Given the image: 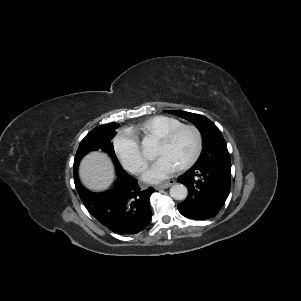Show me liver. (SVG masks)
I'll return each instance as SVG.
<instances>
[{
    "mask_svg": "<svg viewBox=\"0 0 301 301\" xmlns=\"http://www.w3.org/2000/svg\"><path fill=\"white\" fill-rule=\"evenodd\" d=\"M82 183L93 191L106 190L114 180V167L110 158L102 152H91L80 163Z\"/></svg>",
    "mask_w": 301,
    "mask_h": 301,
    "instance_id": "liver-1",
    "label": "liver"
}]
</instances>
